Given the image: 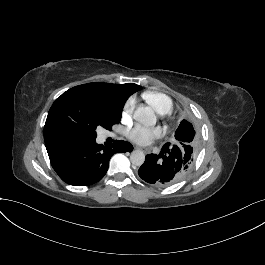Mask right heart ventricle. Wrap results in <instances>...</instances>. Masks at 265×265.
<instances>
[{"instance_id": "obj_1", "label": "right heart ventricle", "mask_w": 265, "mask_h": 265, "mask_svg": "<svg viewBox=\"0 0 265 265\" xmlns=\"http://www.w3.org/2000/svg\"><path fill=\"white\" fill-rule=\"evenodd\" d=\"M143 98L146 100L148 107L154 109L156 115L163 117L172 111V102L160 94L145 93Z\"/></svg>"}]
</instances>
